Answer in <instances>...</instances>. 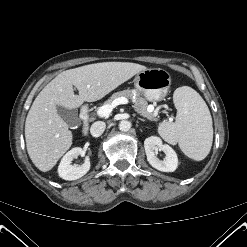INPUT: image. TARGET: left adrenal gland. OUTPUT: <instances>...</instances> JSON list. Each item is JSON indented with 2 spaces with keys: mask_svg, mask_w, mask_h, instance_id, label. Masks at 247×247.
Masks as SVG:
<instances>
[{
  "mask_svg": "<svg viewBox=\"0 0 247 247\" xmlns=\"http://www.w3.org/2000/svg\"><path fill=\"white\" fill-rule=\"evenodd\" d=\"M139 120H141V121H145V119H142V118H138Z\"/></svg>",
  "mask_w": 247,
  "mask_h": 247,
  "instance_id": "1",
  "label": "left adrenal gland"
}]
</instances>
